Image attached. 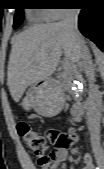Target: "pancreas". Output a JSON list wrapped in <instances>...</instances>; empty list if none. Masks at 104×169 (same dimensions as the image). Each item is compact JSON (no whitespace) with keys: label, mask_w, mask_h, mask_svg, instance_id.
I'll use <instances>...</instances> for the list:
<instances>
[{"label":"pancreas","mask_w":104,"mask_h":169,"mask_svg":"<svg viewBox=\"0 0 104 169\" xmlns=\"http://www.w3.org/2000/svg\"><path fill=\"white\" fill-rule=\"evenodd\" d=\"M72 73L79 74V72L76 71V70H74V71L65 70V71H63L62 74L60 75V78H61L64 82L70 81V80H71L70 75H71ZM81 100H82L81 97H79V98L76 99L77 103H79Z\"/></svg>","instance_id":"cf45deb5"}]
</instances>
